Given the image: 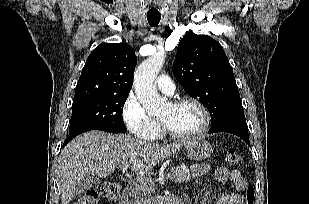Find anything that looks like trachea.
Wrapping results in <instances>:
<instances>
[{"label": "trachea", "mask_w": 309, "mask_h": 204, "mask_svg": "<svg viewBox=\"0 0 309 204\" xmlns=\"http://www.w3.org/2000/svg\"><path fill=\"white\" fill-rule=\"evenodd\" d=\"M160 19H161V16L160 15H147V20H148V23L152 26V27H155L159 24L160 22Z\"/></svg>", "instance_id": "obj_1"}]
</instances>
